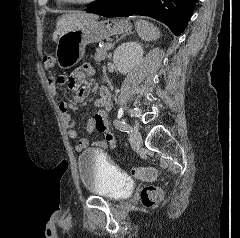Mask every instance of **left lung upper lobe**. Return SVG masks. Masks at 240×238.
Here are the masks:
<instances>
[{"mask_svg": "<svg viewBox=\"0 0 240 238\" xmlns=\"http://www.w3.org/2000/svg\"><path fill=\"white\" fill-rule=\"evenodd\" d=\"M99 1H100V0H97V1H95V2H93V3H91V4H89V5H88V8H89V7H92V6H94V5H96Z\"/></svg>", "mask_w": 240, "mask_h": 238, "instance_id": "left-lung-upper-lobe-1", "label": "left lung upper lobe"}]
</instances>
